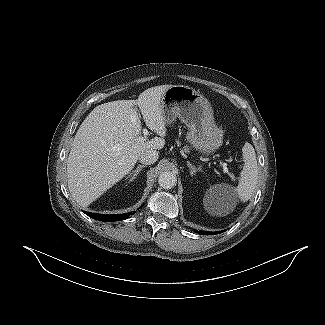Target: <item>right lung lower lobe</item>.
I'll return each mask as SVG.
<instances>
[{
    "label": "right lung lower lobe",
    "mask_w": 325,
    "mask_h": 325,
    "mask_svg": "<svg viewBox=\"0 0 325 325\" xmlns=\"http://www.w3.org/2000/svg\"><path fill=\"white\" fill-rule=\"evenodd\" d=\"M87 216L100 220V221H121L127 219L130 215L133 213H127V214H119V215H101V214H95V213H89V212H84Z\"/></svg>",
    "instance_id": "obj_1"
}]
</instances>
